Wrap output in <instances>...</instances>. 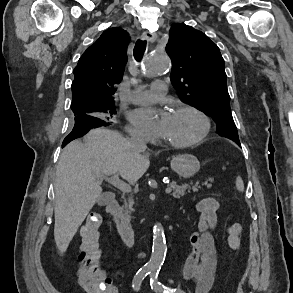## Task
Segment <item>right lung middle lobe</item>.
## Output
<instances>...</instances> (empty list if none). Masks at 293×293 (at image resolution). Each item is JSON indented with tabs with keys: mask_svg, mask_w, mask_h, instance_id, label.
Returning a JSON list of instances; mask_svg holds the SVG:
<instances>
[{
	"mask_svg": "<svg viewBox=\"0 0 293 293\" xmlns=\"http://www.w3.org/2000/svg\"><path fill=\"white\" fill-rule=\"evenodd\" d=\"M91 110L96 112L95 114L96 117L106 121H110L113 115L116 113L114 103L101 104L99 106L93 107Z\"/></svg>",
	"mask_w": 293,
	"mask_h": 293,
	"instance_id": "right-lung-middle-lobe-1",
	"label": "right lung middle lobe"
}]
</instances>
